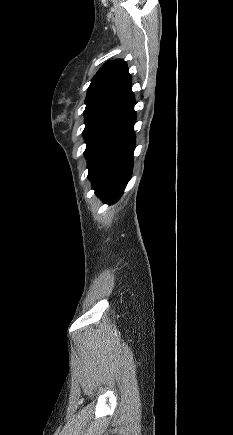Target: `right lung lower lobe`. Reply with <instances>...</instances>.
<instances>
[{"instance_id":"98d812e1","label":"right lung lower lobe","mask_w":233,"mask_h":435,"mask_svg":"<svg viewBox=\"0 0 233 435\" xmlns=\"http://www.w3.org/2000/svg\"><path fill=\"white\" fill-rule=\"evenodd\" d=\"M136 113H129L87 157L92 188L104 203L116 202L133 169Z\"/></svg>"}]
</instances>
